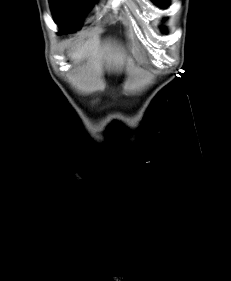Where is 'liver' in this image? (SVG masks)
I'll list each match as a JSON object with an SVG mask.
<instances>
[{"label":"liver","mask_w":231,"mask_h":281,"mask_svg":"<svg viewBox=\"0 0 231 281\" xmlns=\"http://www.w3.org/2000/svg\"><path fill=\"white\" fill-rule=\"evenodd\" d=\"M85 56L94 60L98 68L101 66L102 60L104 59L107 63V67L121 69L126 59L124 49L117 47L116 45L112 46L110 43H105L102 47L97 38L85 42L73 53L72 58L78 63Z\"/></svg>","instance_id":"liver-1"}]
</instances>
